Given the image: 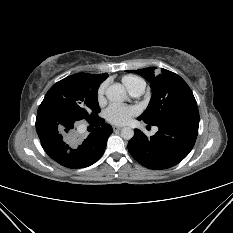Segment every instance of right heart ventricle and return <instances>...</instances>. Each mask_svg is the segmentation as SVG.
Returning a JSON list of instances; mask_svg holds the SVG:
<instances>
[{
    "mask_svg": "<svg viewBox=\"0 0 233 233\" xmlns=\"http://www.w3.org/2000/svg\"><path fill=\"white\" fill-rule=\"evenodd\" d=\"M123 85L127 88L129 92L137 89L144 88L145 89V81L136 75H125L121 79Z\"/></svg>",
    "mask_w": 233,
    "mask_h": 233,
    "instance_id": "obj_1",
    "label": "right heart ventricle"
}]
</instances>
